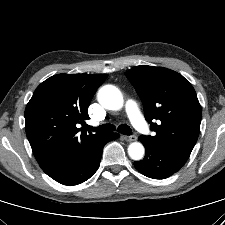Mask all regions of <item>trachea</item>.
Here are the masks:
<instances>
[{
	"instance_id": "3493384b",
	"label": "trachea",
	"mask_w": 225,
	"mask_h": 225,
	"mask_svg": "<svg viewBox=\"0 0 225 225\" xmlns=\"http://www.w3.org/2000/svg\"><path fill=\"white\" fill-rule=\"evenodd\" d=\"M87 129L93 132L106 133L115 130V126L112 124H103L98 127L88 126ZM117 131L124 135H131V128L127 124H121L118 126Z\"/></svg>"
}]
</instances>
